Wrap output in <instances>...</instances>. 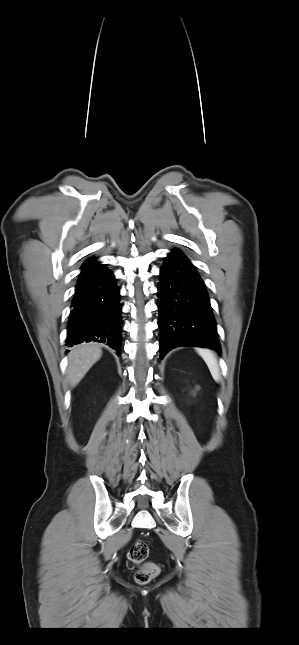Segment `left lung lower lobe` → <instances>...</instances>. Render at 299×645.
I'll return each mask as SVG.
<instances>
[{
	"label": "left lung lower lobe",
	"mask_w": 299,
	"mask_h": 645,
	"mask_svg": "<svg viewBox=\"0 0 299 645\" xmlns=\"http://www.w3.org/2000/svg\"><path fill=\"white\" fill-rule=\"evenodd\" d=\"M160 358L180 346L221 350L206 286L190 260L173 249L160 269Z\"/></svg>",
	"instance_id": "obj_1"
}]
</instances>
